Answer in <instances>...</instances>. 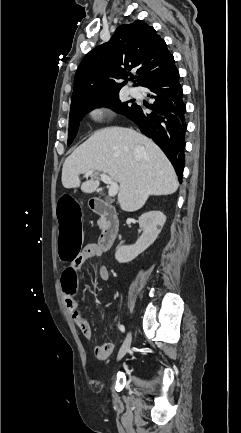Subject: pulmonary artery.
Listing matches in <instances>:
<instances>
[{"label": "pulmonary artery", "instance_id": "pulmonary-artery-1", "mask_svg": "<svg viewBox=\"0 0 241 433\" xmlns=\"http://www.w3.org/2000/svg\"><path fill=\"white\" fill-rule=\"evenodd\" d=\"M129 93L134 97L139 96V90L137 88H130Z\"/></svg>", "mask_w": 241, "mask_h": 433}]
</instances>
